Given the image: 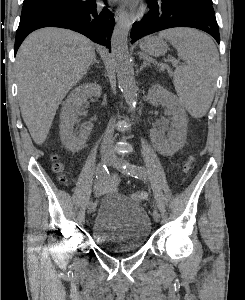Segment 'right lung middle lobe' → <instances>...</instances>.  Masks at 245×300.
<instances>
[{"instance_id": "right-lung-middle-lobe-1", "label": "right lung middle lobe", "mask_w": 245, "mask_h": 300, "mask_svg": "<svg viewBox=\"0 0 245 300\" xmlns=\"http://www.w3.org/2000/svg\"><path fill=\"white\" fill-rule=\"evenodd\" d=\"M87 0H31L24 1L20 20H25L37 15L57 9L81 6Z\"/></svg>"}]
</instances>
